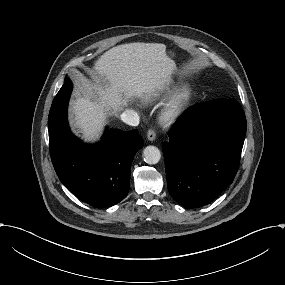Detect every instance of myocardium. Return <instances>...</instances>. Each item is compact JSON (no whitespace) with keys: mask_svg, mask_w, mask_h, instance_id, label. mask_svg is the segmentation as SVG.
<instances>
[{"mask_svg":"<svg viewBox=\"0 0 285 285\" xmlns=\"http://www.w3.org/2000/svg\"><path fill=\"white\" fill-rule=\"evenodd\" d=\"M194 89L185 85L176 89L165 101L158 114V120L166 126L180 122L194 99Z\"/></svg>","mask_w":285,"mask_h":285,"instance_id":"f54148a6","label":"myocardium"}]
</instances>
